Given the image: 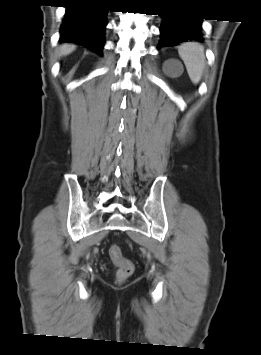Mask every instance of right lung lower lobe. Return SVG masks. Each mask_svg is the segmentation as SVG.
<instances>
[{
	"label": "right lung lower lobe",
	"instance_id": "1",
	"mask_svg": "<svg viewBox=\"0 0 261 355\" xmlns=\"http://www.w3.org/2000/svg\"><path fill=\"white\" fill-rule=\"evenodd\" d=\"M106 10L99 0H76L68 5L60 31V41L82 44L101 55L104 46Z\"/></svg>",
	"mask_w": 261,
	"mask_h": 355
}]
</instances>
